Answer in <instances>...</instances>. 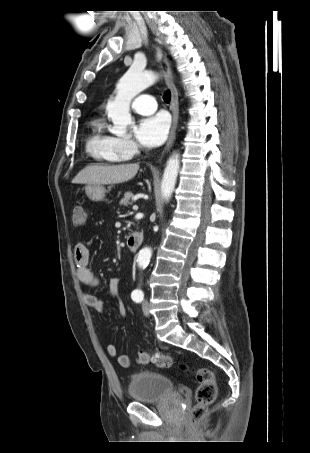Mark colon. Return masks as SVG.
<instances>
[{
    "mask_svg": "<svg viewBox=\"0 0 310 453\" xmlns=\"http://www.w3.org/2000/svg\"><path fill=\"white\" fill-rule=\"evenodd\" d=\"M73 224L81 226L86 221V213L80 206H76L72 215ZM138 361L142 365L149 363L155 364L159 368H170L174 360L172 356L161 352L141 351ZM182 369L188 370L185 364L181 365ZM191 372L195 376L198 386L196 389V403L189 414V422L195 424L199 422L206 414L207 409L213 404L217 395V384L214 373L207 368H192Z\"/></svg>",
    "mask_w": 310,
    "mask_h": 453,
    "instance_id": "5ec220e1",
    "label": "colon"
}]
</instances>
